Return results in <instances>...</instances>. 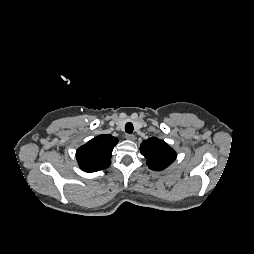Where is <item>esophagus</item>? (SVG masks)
Instances as JSON below:
<instances>
[{
    "label": "esophagus",
    "mask_w": 254,
    "mask_h": 254,
    "mask_svg": "<svg viewBox=\"0 0 254 254\" xmlns=\"http://www.w3.org/2000/svg\"><path fill=\"white\" fill-rule=\"evenodd\" d=\"M126 139L130 140V141H134L135 140V136L133 134H126Z\"/></svg>",
    "instance_id": "obj_1"
}]
</instances>
